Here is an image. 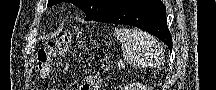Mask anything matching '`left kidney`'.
I'll use <instances>...</instances> for the list:
<instances>
[{
	"label": "left kidney",
	"instance_id": "1",
	"mask_svg": "<svg viewBox=\"0 0 216 90\" xmlns=\"http://www.w3.org/2000/svg\"><path fill=\"white\" fill-rule=\"evenodd\" d=\"M124 90H147V88L143 84H140V82H135V84H127Z\"/></svg>",
	"mask_w": 216,
	"mask_h": 90
}]
</instances>
